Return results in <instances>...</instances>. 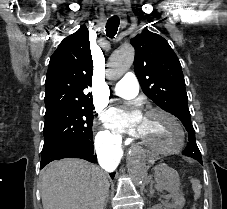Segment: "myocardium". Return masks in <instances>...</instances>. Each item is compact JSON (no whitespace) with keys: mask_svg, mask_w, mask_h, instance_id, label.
I'll return each instance as SVG.
<instances>
[{"mask_svg":"<svg viewBox=\"0 0 227 209\" xmlns=\"http://www.w3.org/2000/svg\"><path fill=\"white\" fill-rule=\"evenodd\" d=\"M153 114H161L164 117H166L170 122L173 123V125L176 127V129L178 131V135H179L178 142L172 148L162 149V148H158L156 146L151 145L150 143H148L147 141L143 140L138 135H136V138H137L139 144L141 146H143L144 148H146L148 151L158 154V155H171V154H175V153H178L179 151H181L185 144L186 134H185L184 127L181 124V122L179 121V119L175 115H173L171 112H169L165 109H161V108L150 109L146 112L145 116H149V115H153Z\"/></svg>","mask_w":227,"mask_h":209,"instance_id":"obj_1","label":"myocardium"}]
</instances>
